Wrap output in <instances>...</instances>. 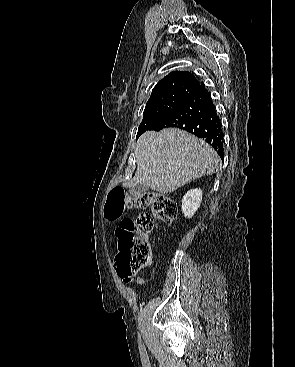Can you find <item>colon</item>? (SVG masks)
Segmentation results:
<instances>
[{"label": "colon", "instance_id": "5ec220e1", "mask_svg": "<svg viewBox=\"0 0 295 367\" xmlns=\"http://www.w3.org/2000/svg\"><path fill=\"white\" fill-rule=\"evenodd\" d=\"M151 207L152 215L140 214L135 221L123 219L116 230V270L121 277H128L151 262V247L147 233L152 229L154 219L165 223L177 217L175 200L158 192L129 194L122 187L111 190L105 215L109 220L119 219L126 209Z\"/></svg>", "mask_w": 295, "mask_h": 367}]
</instances>
